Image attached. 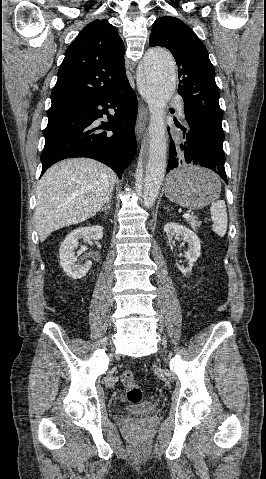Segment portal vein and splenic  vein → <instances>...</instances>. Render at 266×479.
I'll return each instance as SVG.
<instances>
[{"mask_svg":"<svg viewBox=\"0 0 266 479\" xmlns=\"http://www.w3.org/2000/svg\"><path fill=\"white\" fill-rule=\"evenodd\" d=\"M190 217H191L190 213H185V214L183 215V218H186V219H187V218H190Z\"/></svg>","mask_w":266,"mask_h":479,"instance_id":"portal-vein-and-splenic-vein-1","label":"portal vein and splenic vein"}]
</instances>
